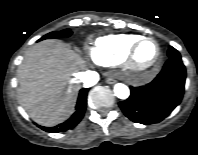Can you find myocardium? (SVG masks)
<instances>
[{
    "label": "myocardium",
    "instance_id": "obj_1",
    "mask_svg": "<svg viewBox=\"0 0 198 155\" xmlns=\"http://www.w3.org/2000/svg\"><path fill=\"white\" fill-rule=\"evenodd\" d=\"M144 42H153L156 46V55L154 59L148 64H141L137 59L138 49ZM161 56H162V51L158 41L152 37H142L134 43V45L132 46L126 57L128 69L135 76L150 74L154 72L159 66V63L161 61Z\"/></svg>",
    "mask_w": 198,
    "mask_h": 155
}]
</instances>
